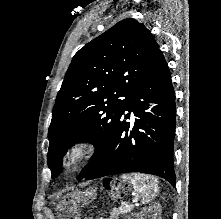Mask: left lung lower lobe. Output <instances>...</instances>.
Returning a JSON list of instances; mask_svg holds the SVG:
<instances>
[{
    "label": "left lung lower lobe",
    "mask_w": 221,
    "mask_h": 219,
    "mask_svg": "<svg viewBox=\"0 0 221 219\" xmlns=\"http://www.w3.org/2000/svg\"><path fill=\"white\" fill-rule=\"evenodd\" d=\"M143 100V101H141ZM157 103L152 113L147 103ZM131 111L141 118L126 122ZM175 92L167 62L159 49L133 96L117 120L108 142L84 179L118 173H146L175 185L173 146L175 137Z\"/></svg>",
    "instance_id": "0a47b994"
}]
</instances>
